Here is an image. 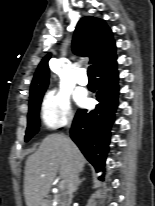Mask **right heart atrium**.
I'll return each mask as SVG.
<instances>
[{
	"instance_id": "right-heart-atrium-1",
	"label": "right heart atrium",
	"mask_w": 155,
	"mask_h": 206,
	"mask_svg": "<svg viewBox=\"0 0 155 206\" xmlns=\"http://www.w3.org/2000/svg\"><path fill=\"white\" fill-rule=\"evenodd\" d=\"M40 116L45 127L55 129L73 119L69 95L61 89L48 91L42 101Z\"/></svg>"
}]
</instances>
